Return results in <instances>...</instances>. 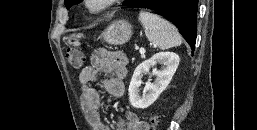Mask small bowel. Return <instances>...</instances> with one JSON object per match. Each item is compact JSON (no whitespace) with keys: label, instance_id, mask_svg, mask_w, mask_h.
Here are the masks:
<instances>
[{"label":"small bowel","instance_id":"small-bowel-1","mask_svg":"<svg viewBox=\"0 0 257 130\" xmlns=\"http://www.w3.org/2000/svg\"><path fill=\"white\" fill-rule=\"evenodd\" d=\"M90 61L91 64L84 67L79 74L81 101L97 130H110L101 120V95L91 84L101 80L109 95L115 98L122 97L125 91L124 79L128 73V58L123 52L98 49L91 55ZM101 75L107 77L101 79ZM116 130H149V125L136 113L127 111L126 120L119 119Z\"/></svg>","mask_w":257,"mask_h":130}]
</instances>
